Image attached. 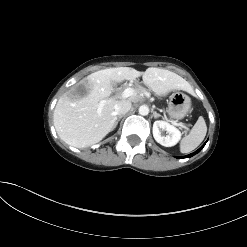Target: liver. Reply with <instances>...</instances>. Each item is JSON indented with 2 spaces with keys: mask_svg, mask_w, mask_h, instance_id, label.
<instances>
[{
  "mask_svg": "<svg viewBox=\"0 0 247 247\" xmlns=\"http://www.w3.org/2000/svg\"><path fill=\"white\" fill-rule=\"evenodd\" d=\"M140 76L143 83L158 96L171 90L192 91L191 85L181 76L161 68L150 67L140 72L129 67H117L94 72L82 82L87 88L86 96L76 99L68 91L58 100L53 114L58 136L77 148L100 142L115 128V106L119 101L109 99L113 85ZM137 97L134 94L127 100L135 102ZM103 100L106 103L99 109V103Z\"/></svg>",
  "mask_w": 247,
  "mask_h": 247,
  "instance_id": "liver-1",
  "label": "liver"
}]
</instances>
